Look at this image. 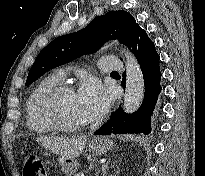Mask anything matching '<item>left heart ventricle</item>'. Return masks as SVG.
I'll return each mask as SVG.
<instances>
[{
	"mask_svg": "<svg viewBox=\"0 0 205 176\" xmlns=\"http://www.w3.org/2000/svg\"><path fill=\"white\" fill-rule=\"evenodd\" d=\"M56 110L59 118L66 123L82 124L89 120L75 93L61 96L56 102Z\"/></svg>",
	"mask_w": 205,
	"mask_h": 176,
	"instance_id": "1",
	"label": "left heart ventricle"
}]
</instances>
